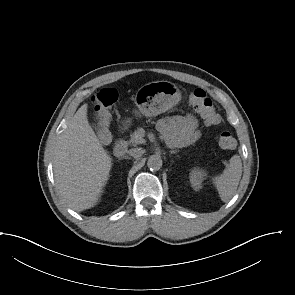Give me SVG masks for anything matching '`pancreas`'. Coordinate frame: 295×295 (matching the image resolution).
I'll list each match as a JSON object with an SVG mask.
<instances>
[{
    "label": "pancreas",
    "instance_id": "obj_1",
    "mask_svg": "<svg viewBox=\"0 0 295 295\" xmlns=\"http://www.w3.org/2000/svg\"><path fill=\"white\" fill-rule=\"evenodd\" d=\"M143 136L144 135L141 134L140 129H138L133 134H131L129 143L132 144L133 146L143 144L145 142Z\"/></svg>",
    "mask_w": 295,
    "mask_h": 295
}]
</instances>
